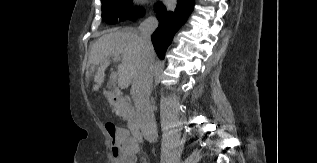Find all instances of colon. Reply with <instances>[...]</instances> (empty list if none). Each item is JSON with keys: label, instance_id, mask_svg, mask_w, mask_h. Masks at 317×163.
Returning a JSON list of instances; mask_svg holds the SVG:
<instances>
[{"label": "colon", "instance_id": "1", "mask_svg": "<svg viewBox=\"0 0 317 163\" xmlns=\"http://www.w3.org/2000/svg\"><path fill=\"white\" fill-rule=\"evenodd\" d=\"M109 135L112 137V139L114 140L115 139V135L117 133V130L116 128L113 126V125H107L106 127Z\"/></svg>", "mask_w": 317, "mask_h": 163}]
</instances>
